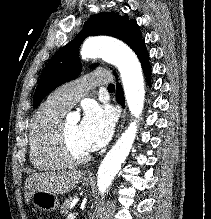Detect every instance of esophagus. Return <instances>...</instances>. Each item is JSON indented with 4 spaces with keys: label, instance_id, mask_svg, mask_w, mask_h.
Returning <instances> with one entry per match:
<instances>
[{
    "label": "esophagus",
    "instance_id": "obj_1",
    "mask_svg": "<svg viewBox=\"0 0 211 219\" xmlns=\"http://www.w3.org/2000/svg\"><path fill=\"white\" fill-rule=\"evenodd\" d=\"M125 118H126V111L123 110L122 119H121V124H120V131H121V129H122V127H123V124H124V122H125ZM120 131L118 132L117 136L119 135ZM87 175H88L89 177H91V176H93V173H92V172H89V173H87Z\"/></svg>",
    "mask_w": 211,
    "mask_h": 219
}]
</instances>
